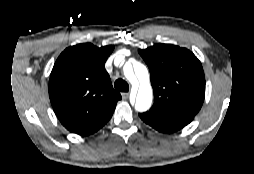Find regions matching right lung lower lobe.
I'll list each match as a JSON object with an SVG mask.
<instances>
[{
    "label": "right lung lower lobe",
    "instance_id": "right-lung-lower-lobe-1",
    "mask_svg": "<svg viewBox=\"0 0 254 174\" xmlns=\"http://www.w3.org/2000/svg\"><path fill=\"white\" fill-rule=\"evenodd\" d=\"M112 114H113V112L110 113L108 116H106L101 121L85 128L83 130H80L76 133L79 134V135H83V136H87V135L95 133L96 131H98L100 128H102L110 120V118L112 117Z\"/></svg>",
    "mask_w": 254,
    "mask_h": 174
}]
</instances>
